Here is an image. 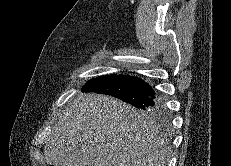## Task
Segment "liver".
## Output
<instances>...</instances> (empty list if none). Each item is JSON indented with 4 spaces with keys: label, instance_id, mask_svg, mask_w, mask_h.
<instances>
[{
    "label": "liver",
    "instance_id": "liver-1",
    "mask_svg": "<svg viewBox=\"0 0 231 166\" xmlns=\"http://www.w3.org/2000/svg\"><path fill=\"white\" fill-rule=\"evenodd\" d=\"M168 142L143 111L106 95L70 101L44 149L54 166H165Z\"/></svg>",
    "mask_w": 231,
    "mask_h": 166
}]
</instances>
